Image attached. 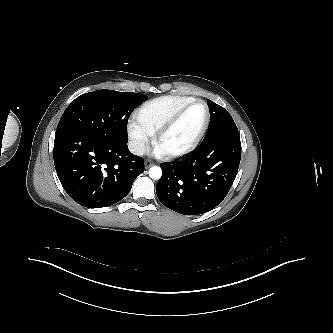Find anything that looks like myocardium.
I'll list each match as a JSON object with an SVG mask.
<instances>
[{"label":"myocardium","mask_w":333,"mask_h":333,"mask_svg":"<svg viewBox=\"0 0 333 333\" xmlns=\"http://www.w3.org/2000/svg\"><path fill=\"white\" fill-rule=\"evenodd\" d=\"M201 103L206 108V119L204 124L202 125L201 129L197 133V135L193 138V140L184 148L179 150H173V151H163L160 149V142L163 139V137L179 122V120L182 118L184 113L193 105ZM211 121V111L208 104L202 100V99H193L192 101L184 104L181 106L155 133L153 145L155 150L165 159L171 160L183 157L189 153H191L193 150H195L200 142L203 140L209 125Z\"/></svg>","instance_id":"1"}]
</instances>
